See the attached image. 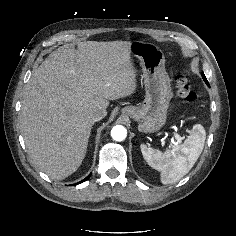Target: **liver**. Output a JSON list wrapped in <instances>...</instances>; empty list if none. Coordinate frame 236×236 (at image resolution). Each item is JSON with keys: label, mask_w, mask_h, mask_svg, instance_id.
I'll return each instance as SVG.
<instances>
[{"label": "liver", "mask_w": 236, "mask_h": 236, "mask_svg": "<svg viewBox=\"0 0 236 236\" xmlns=\"http://www.w3.org/2000/svg\"><path fill=\"white\" fill-rule=\"evenodd\" d=\"M126 41L80 42L53 51L32 73L20 110L28 153L52 179L81 165L94 122L93 109L136 91V72Z\"/></svg>", "instance_id": "liver-1"}]
</instances>
